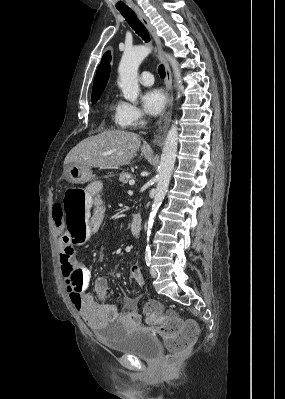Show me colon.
Masks as SVG:
<instances>
[{"label": "colon", "mask_w": 285, "mask_h": 399, "mask_svg": "<svg viewBox=\"0 0 285 399\" xmlns=\"http://www.w3.org/2000/svg\"><path fill=\"white\" fill-rule=\"evenodd\" d=\"M63 211L64 227L70 235L71 245L61 255V268L65 276L66 289L74 304L82 302L83 285L81 279L74 277L76 259L74 249L87 242L92 236L91 224L87 217L86 200L75 190L65 192L60 203ZM148 316H162V307L157 300H148L143 308ZM165 339L169 354L165 356L167 365L173 364L177 357L188 353L196 341L199 329L195 322L183 321L177 316L167 317L159 329Z\"/></svg>", "instance_id": "1"}]
</instances>
